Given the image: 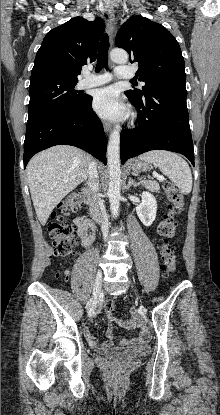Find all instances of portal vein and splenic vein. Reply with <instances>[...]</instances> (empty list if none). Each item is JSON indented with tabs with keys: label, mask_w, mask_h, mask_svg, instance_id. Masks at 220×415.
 I'll list each match as a JSON object with an SVG mask.
<instances>
[{
	"label": "portal vein and splenic vein",
	"mask_w": 220,
	"mask_h": 415,
	"mask_svg": "<svg viewBox=\"0 0 220 415\" xmlns=\"http://www.w3.org/2000/svg\"><path fill=\"white\" fill-rule=\"evenodd\" d=\"M160 179H163V176H159Z\"/></svg>",
	"instance_id": "1"
}]
</instances>
